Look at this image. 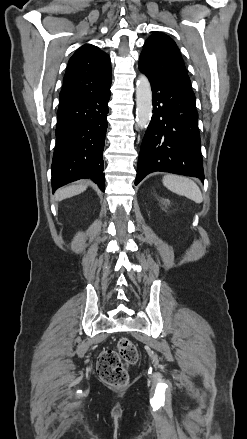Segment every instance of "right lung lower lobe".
<instances>
[{
    "mask_svg": "<svg viewBox=\"0 0 247 439\" xmlns=\"http://www.w3.org/2000/svg\"><path fill=\"white\" fill-rule=\"evenodd\" d=\"M110 84L102 90L59 103L57 144L52 162L53 192L72 181L90 178L104 191L103 149Z\"/></svg>",
    "mask_w": 247,
    "mask_h": 439,
    "instance_id": "98d812e1",
    "label": "right lung lower lobe"
}]
</instances>
